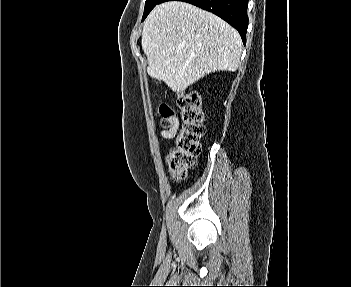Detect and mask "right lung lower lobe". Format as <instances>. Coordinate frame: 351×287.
<instances>
[{"instance_id":"1","label":"right lung lower lobe","mask_w":351,"mask_h":287,"mask_svg":"<svg viewBox=\"0 0 351 287\" xmlns=\"http://www.w3.org/2000/svg\"><path fill=\"white\" fill-rule=\"evenodd\" d=\"M173 1L160 0L158 4ZM193 4L199 8L212 12L230 25L235 27L243 43H246V33L248 28L247 5L248 0H176Z\"/></svg>"}]
</instances>
